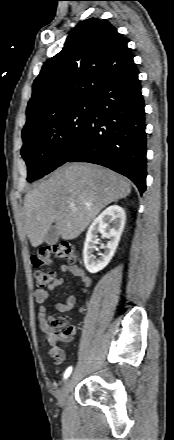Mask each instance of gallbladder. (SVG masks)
I'll list each match as a JSON object with an SVG mask.
<instances>
[{
    "label": "gallbladder",
    "instance_id": "obj_1",
    "mask_svg": "<svg viewBox=\"0 0 174 440\" xmlns=\"http://www.w3.org/2000/svg\"><path fill=\"white\" fill-rule=\"evenodd\" d=\"M58 238H59L58 230H57V228H56L55 225H52V226L49 228V230H48V232L46 233V235H45V242H46L49 246H52V245H54V244L57 243Z\"/></svg>",
    "mask_w": 174,
    "mask_h": 440
}]
</instances>
